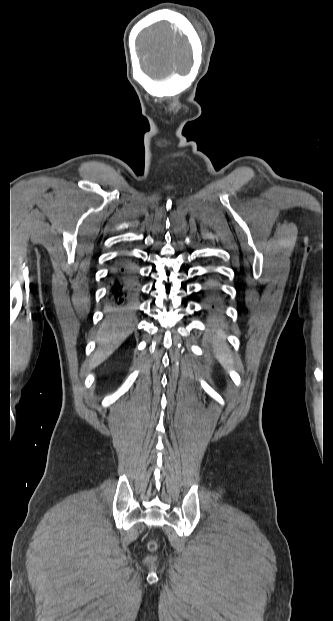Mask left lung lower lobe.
Returning <instances> with one entry per match:
<instances>
[{"label":"left lung lower lobe","mask_w":333,"mask_h":621,"mask_svg":"<svg viewBox=\"0 0 333 621\" xmlns=\"http://www.w3.org/2000/svg\"><path fill=\"white\" fill-rule=\"evenodd\" d=\"M217 282L216 278H212L209 282L208 285H204L205 288H208L209 285L215 284ZM216 296V292L215 291H211L208 295L209 300H211L212 297ZM209 308L211 310L217 311L219 309V303L216 300H213L209 303Z\"/></svg>","instance_id":"left-lung-lower-lobe-1"}]
</instances>
